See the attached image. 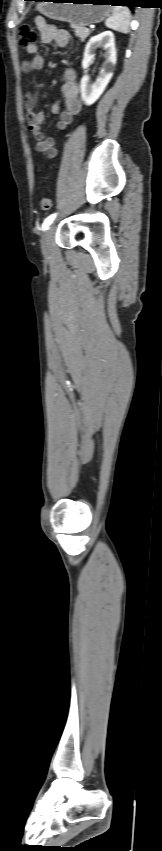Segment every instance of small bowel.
<instances>
[{"label": "small bowel", "mask_w": 162, "mask_h": 851, "mask_svg": "<svg viewBox=\"0 0 162 851\" xmlns=\"http://www.w3.org/2000/svg\"><path fill=\"white\" fill-rule=\"evenodd\" d=\"M36 25L41 34V41L45 44L55 42L58 46L66 48L70 45L71 35L65 29L58 27L55 24L48 23L44 18L36 19ZM27 52L33 56L31 60L23 62V68L26 72L43 68L45 59L39 54V47L33 45L27 49ZM60 95L64 104V110H61V104L54 102L51 106V112L59 115L57 121V129L64 135L67 134L69 126L73 123L74 118L81 112L82 102L78 96V86L75 79V73L71 69H66L64 83L60 89ZM24 106L27 113L28 128L35 139L36 151L43 153L46 158H54L58 150L55 140L52 137H46L42 133V124L45 120L44 113L36 110V100L34 96L27 93L24 99Z\"/></svg>", "instance_id": "1"}]
</instances>
